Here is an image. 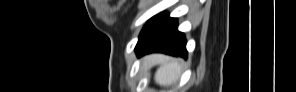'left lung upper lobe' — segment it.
Wrapping results in <instances>:
<instances>
[{
  "label": "left lung upper lobe",
  "mask_w": 296,
  "mask_h": 92,
  "mask_svg": "<svg viewBox=\"0 0 296 92\" xmlns=\"http://www.w3.org/2000/svg\"><path fill=\"white\" fill-rule=\"evenodd\" d=\"M160 15L154 16L153 18H151L146 25L144 26V28L142 29L140 35H139V40L138 43L143 40L145 38V36L149 33V31L152 29V27L154 26V24L156 23L157 19L159 18ZM137 43V44H138Z\"/></svg>",
  "instance_id": "left-lung-upper-lobe-1"
}]
</instances>
